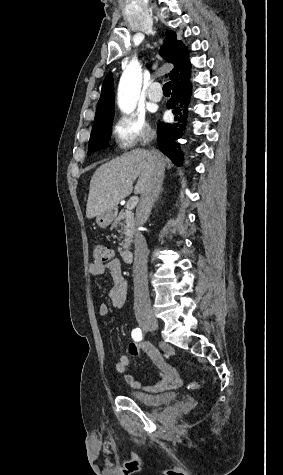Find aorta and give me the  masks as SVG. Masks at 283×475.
<instances>
[{
    "label": "aorta",
    "instance_id": "aorta-1",
    "mask_svg": "<svg viewBox=\"0 0 283 475\" xmlns=\"http://www.w3.org/2000/svg\"><path fill=\"white\" fill-rule=\"evenodd\" d=\"M141 85V68L137 62H132L124 70L118 86V106L123 113L130 114L135 110Z\"/></svg>",
    "mask_w": 283,
    "mask_h": 475
}]
</instances>
